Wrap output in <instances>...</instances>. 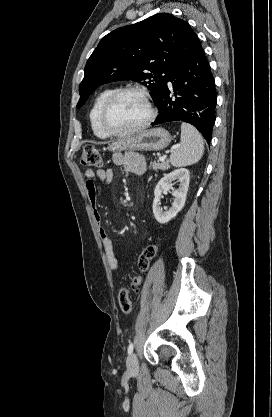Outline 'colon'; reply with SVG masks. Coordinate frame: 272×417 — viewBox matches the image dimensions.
<instances>
[{
  "label": "colon",
  "mask_w": 272,
  "mask_h": 417,
  "mask_svg": "<svg viewBox=\"0 0 272 417\" xmlns=\"http://www.w3.org/2000/svg\"><path fill=\"white\" fill-rule=\"evenodd\" d=\"M81 163L87 167H100L102 158L98 149L93 145H86L81 153ZM158 251L159 246L157 244H151L143 250L138 260V267L141 272L148 270L150 261L157 255ZM141 282L142 277L140 275L135 276L129 286L122 287L119 290L118 304L124 314L131 312V294L138 290Z\"/></svg>",
  "instance_id": "obj_1"
}]
</instances>
